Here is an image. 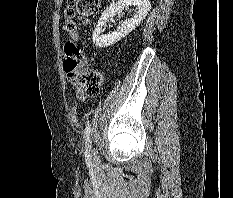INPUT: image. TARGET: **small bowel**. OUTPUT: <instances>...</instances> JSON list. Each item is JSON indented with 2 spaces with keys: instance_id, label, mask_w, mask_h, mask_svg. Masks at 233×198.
<instances>
[{
  "instance_id": "obj_1",
  "label": "small bowel",
  "mask_w": 233,
  "mask_h": 198,
  "mask_svg": "<svg viewBox=\"0 0 233 198\" xmlns=\"http://www.w3.org/2000/svg\"><path fill=\"white\" fill-rule=\"evenodd\" d=\"M77 98H78L79 100H81V101H84V100H86L87 95H86L85 93L78 92V93H77Z\"/></svg>"
}]
</instances>
